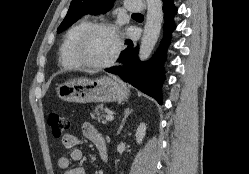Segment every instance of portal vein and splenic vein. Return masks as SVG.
I'll return each mask as SVG.
<instances>
[{"label":"portal vein and splenic vein","mask_w":249,"mask_h":174,"mask_svg":"<svg viewBox=\"0 0 249 174\" xmlns=\"http://www.w3.org/2000/svg\"><path fill=\"white\" fill-rule=\"evenodd\" d=\"M106 120L107 121H113L114 120V116L112 113H108L107 116H106Z\"/></svg>","instance_id":"18ae733b"}]
</instances>
